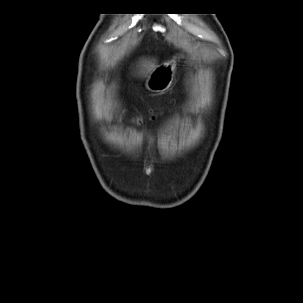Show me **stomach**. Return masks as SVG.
<instances>
[{
    "label": "stomach",
    "instance_id": "1",
    "mask_svg": "<svg viewBox=\"0 0 303 303\" xmlns=\"http://www.w3.org/2000/svg\"><path fill=\"white\" fill-rule=\"evenodd\" d=\"M175 66V60H172L156 67L147 80V89L154 92L167 90L173 81Z\"/></svg>",
    "mask_w": 303,
    "mask_h": 303
}]
</instances>
